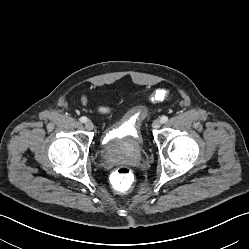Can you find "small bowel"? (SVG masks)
Wrapping results in <instances>:
<instances>
[{"instance_id": "c3829d8e", "label": "small bowel", "mask_w": 249, "mask_h": 249, "mask_svg": "<svg viewBox=\"0 0 249 249\" xmlns=\"http://www.w3.org/2000/svg\"><path fill=\"white\" fill-rule=\"evenodd\" d=\"M80 100H81V103H82L83 106H87L88 98L84 93H81ZM100 110H101V112H108V110L105 109V108H101Z\"/></svg>"}]
</instances>
